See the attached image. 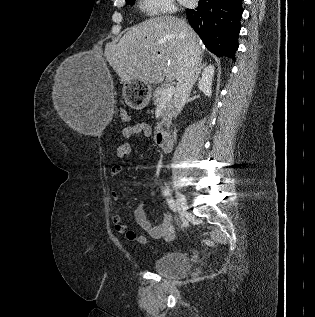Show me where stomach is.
<instances>
[{
  "instance_id": "1",
  "label": "stomach",
  "mask_w": 315,
  "mask_h": 317,
  "mask_svg": "<svg viewBox=\"0 0 315 317\" xmlns=\"http://www.w3.org/2000/svg\"><path fill=\"white\" fill-rule=\"evenodd\" d=\"M151 91L148 83L136 79L124 81L123 96L126 103L134 109L148 108L149 104L154 103Z\"/></svg>"
}]
</instances>
